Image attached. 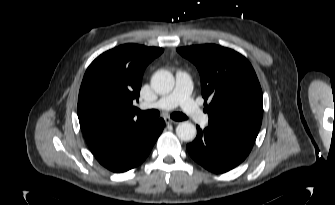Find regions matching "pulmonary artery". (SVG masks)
I'll use <instances>...</instances> for the list:
<instances>
[{"label": "pulmonary artery", "mask_w": 335, "mask_h": 205, "mask_svg": "<svg viewBox=\"0 0 335 205\" xmlns=\"http://www.w3.org/2000/svg\"><path fill=\"white\" fill-rule=\"evenodd\" d=\"M191 91L192 80L190 75L185 71H178L175 87L170 94L153 103L145 102L141 107L143 109L170 110L179 106L192 121L200 125H206L209 118L191 98Z\"/></svg>", "instance_id": "obj_1"}]
</instances>
